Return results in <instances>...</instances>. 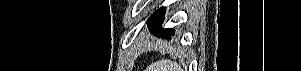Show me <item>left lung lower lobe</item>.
Instances as JSON below:
<instances>
[{
    "label": "left lung lower lobe",
    "mask_w": 301,
    "mask_h": 71,
    "mask_svg": "<svg viewBox=\"0 0 301 71\" xmlns=\"http://www.w3.org/2000/svg\"><path fill=\"white\" fill-rule=\"evenodd\" d=\"M164 12L165 8L163 7L156 10L147 20V25L153 35L170 40L174 35V30L161 28Z\"/></svg>",
    "instance_id": "1"
}]
</instances>
